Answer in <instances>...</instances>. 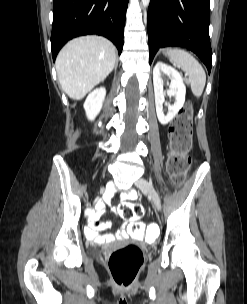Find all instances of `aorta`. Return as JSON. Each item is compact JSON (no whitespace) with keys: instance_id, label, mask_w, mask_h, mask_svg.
I'll use <instances>...</instances> for the list:
<instances>
[{"instance_id":"762f6f07","label":"aorta","mask_w":247,"mask_h":304,"mask_svg":"<svg viewBox=\"0 0 247 304\" xmlns=\"http://www.w3.org/2000/svg\"><path fill=\"white\" fill-rule=\"evenodd\" d=\"M141 3L143 5V7H148L149 3H150V0H141Z\"/></svg>"}]
</instances>
